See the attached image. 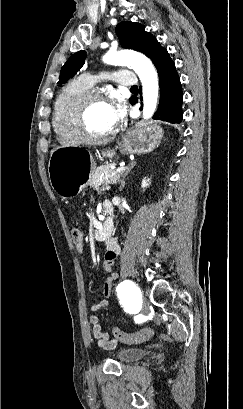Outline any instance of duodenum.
Instances as JSON below:
<instances>
[{"label": "duodenum", "instance_id": "duodenum-1", "mask_svg": "<svg viewBox=\"0 0 243 409\" xmlns=\"http://www.w3.org/2000/svg\"><path fill=\"white\" fill-rule=\"evenodd\" d=\"M112 220L111 218H107L104 222H99L95 226V237L98 240H106L109 239L112 233Z\"/></svg>", "mask_w": 243, "mask_h": 409}]
</instances>
